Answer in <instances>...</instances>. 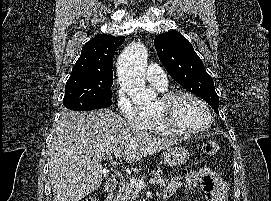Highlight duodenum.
Masks as SVG:
<instances>
[{"label":"duodenum","mask_w":271,"mask_h":201,"mask_svg":"<svg viewBox=\"0 0 271 201\" xmlns=\"http://www.w3.org/2000/svg\"><path fill=\"white\" fill-rule=\"evenodd\" d=\"M119 181L117 179H110L104 186V201H110L111 193L118 187ZM168 199V196H164V201Z\"/></svg>","instance_id":"1"}]
</instances>
